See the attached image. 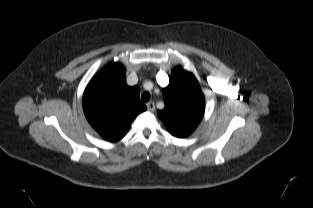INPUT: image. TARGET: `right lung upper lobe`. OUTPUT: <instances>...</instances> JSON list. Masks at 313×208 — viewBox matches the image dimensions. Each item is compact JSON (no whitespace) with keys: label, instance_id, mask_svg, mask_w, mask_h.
<instances>
[{"label":"right lung upper lobe","instance_id":"cb5924a9","mask_svg":"<svg viewBox=\"0 0 313 208\" xmlns=\"http://www.w3.org/2000/svg\"><path fill=\"white\" fill-rule=\"evenodd\" d=\"M125 68L110 63L99 71L83 94V109L91 126L107 141L123 138L131 122L146 110L137 86L126 84Z\"/></svg>","mask_w":313,"mask_h":208}]
</instances>
